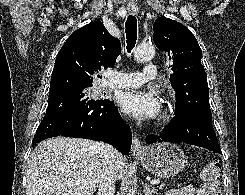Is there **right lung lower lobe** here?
Here are the masks:
<instances>
[{"label":"right lung lower lobe","mask_w":245,"mask_h":195,"mask_svg":"<svg viewBox=\"0 0 245 195\" xmlns=\"http://www.w3.org/2000/svg\"><path fill=\"white\" fill-rule=\"evenodd\" d=\"M55 136L103 141L113 145L124 155L129 153L132 143L129 126L123 121L115 105L106 99L45 115L32 145Z\"/></svg>","instance_id":"98d812e1"}]
</instances>
